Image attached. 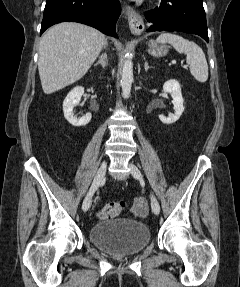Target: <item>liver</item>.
Wrapping results in <instances>:
<instances>
[{
	"instance_id": "liver-1",
	"label": "liver",
	"mask_w": 240,
	"mask_h": 287,
	"mask_svg": "<svg viewBox=\"0 0 240 287\" xmlns=\"http://www.w3.org/2000/svg\"><path fill=\"white\" fill-rule=\"evenodd\" d=\"M103 33L80 23L63 22L48 29L39 46L38 70L45 94L81 79L97 59Z\"/></svg>"
}]
</instances>
